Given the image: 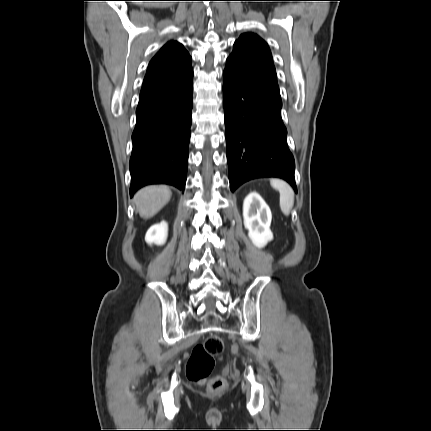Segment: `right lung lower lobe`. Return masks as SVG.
Returning <instances> with one entry per match:
<instances>
[{"label":"right lung lower lobe","instance_id":"obj_1","mask_svg":"<svg viewBox=\"0 0 431 431\" xmlns=\"http://www.w3.org/2000/svg\"><path fill=\"white\" fill-rule=\"evenodd\" d=\"M193 75L172 91L136 110L130 158V195L148 184H169L184 191L192 122Z\"/></svg>","mask_w":431,"mask_h":431}]
</instances>
